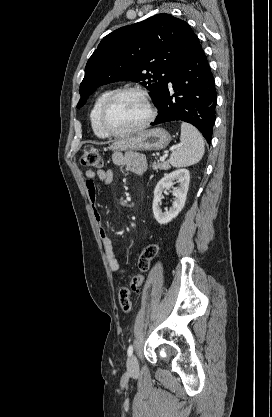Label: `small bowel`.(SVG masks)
<instances>
[{"instance_id":"1","label":"small bowel","mask_w":272,"mask_h":417,"mask_svg":"<svg viewBox=\"0 0 272 417\" xmlns=\"http://www.w3.org/2000/svg\"><path fill=\"white\" fill-rule=\"evenodd\" d=\"M112 161L115 166L124 168L136 175H142L146 172V159L144 155L139 153L116 152L112 156ZM85 175L87 178L85 182L86 193L93 209L94 218L98 225V230L102 239L108 265L113 272L121 275L125 274L126 269L121 266L120 262L114 255L112 239L109 237L105 227L102 224V215L97 208V187L94 182L95 179H99L105 184H110L114 178V170L111 168L99 169L96 171L89 169L86 171Z\"/></svg>"}]
</instances>
